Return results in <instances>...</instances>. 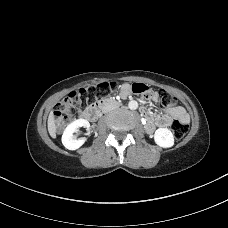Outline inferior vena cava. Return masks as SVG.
Wrapping results in <instances>:
<instances>
[{
  "mask_svg": "<svg viewBox=\"0 0 228 228\" xmlns=\"http://www.w3.org/2000/svg\"><path fill=\"white\" fill-rule=\"evenodd\" d=\"M114 108H116V106H108V107H105V108L103 109V112H104V113H107V112L113 110Z\"/></svg>",
  "mask_w": 228,
  "mask_h": 228,
  "instance_id": "602c4592",
  "label": "inferior vena cava"
}]
</instances>
